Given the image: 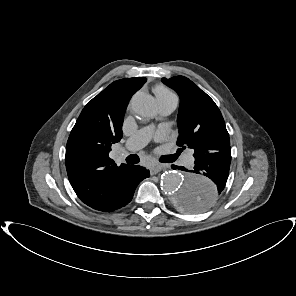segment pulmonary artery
<instances>
[{
  "label": "pulmonary artery",
  "instance_id": "obj_1",
  "mask_svg": "<svg viewBox=\"0 0 296 296\" xmlns=\"http://www.w3.org/2000/svg\"><path fill=\"white\" fill-rule=\"evenodd\" d=\"M158 106H159V112L161 115H168L172 113L177 104H178V98L176 95L164 97V98H158ZM153 133V126H146L135 133H133L126 141L125 144V151L122 153L123 155L127 151H136L140 148L144 147L149 140L152 137ZM195 161L194 155L192 151H188L184 158H183V164L186 166H192Z\"/></svg>",
  "mask_w": 296,
  "mask_h": 296
}]
</instances>
